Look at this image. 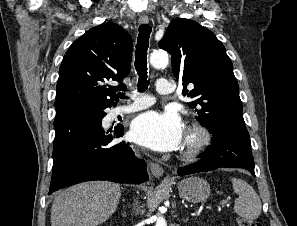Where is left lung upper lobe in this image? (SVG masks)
I'll return each instance as SVG.
<instances>
[{
	"label": "left lung upper lobe",
	"instance_id": "left-lung-upper-lobe-1",
	"mask_svg": "<svg viewBox=\"0 0 297 226\" xmlns=\"http://www.w3.org/2000/svg\"><path fill=\"white\" fill-rule=\"evenodd\" d=\"M159 47L172 55L173 74L183 94L194 99L188 105L202 126L246 129L233 64L213 32L193 20L174 19Z\"/></svg>",
	"mask_w": 297,
	"mask_h": 226
}]
</instances>
